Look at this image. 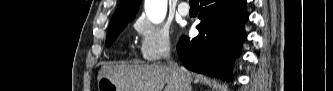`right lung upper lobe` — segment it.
<instances>
[{
    "label": "right lung upper lobe",
    "instance_id": "right-lung-upper-lobe-1",
    "mask_svg": "<svg viewBox=\"0 0 333 91\" xmlns=\"http://www.w3.org/2000/svg\"><path fill=\"white\" fill-rule=\"evenodd\" d=\"M141 0H121L111 22L124 18H132L138 11Z\"/></svg>",
    "mask_w": 333,
    "mask_h": 91
}]
</instances>
